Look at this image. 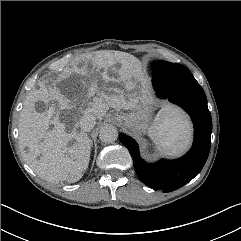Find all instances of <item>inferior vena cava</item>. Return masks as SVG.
Here are the masks:
<instances>
[{
  "instance_id": "obj_1",
  "label": "inferior vena cava",
  "mask_w": 241,
  "mask_h": 241,
  "mask_svg": "<svg viewBox=\"0 0 241 241\" xmlns=\"http://www.w3.org/2000/svg\"><path fill=\"white\" fill-rule=\"evenodd\" d=\"M96 124V117L91 113L84 114L79 122L80 128L85 132H90Z\"/></svg>"
}]
</instances>
